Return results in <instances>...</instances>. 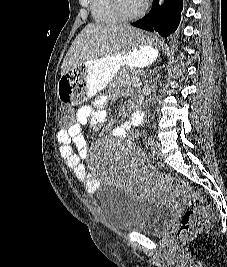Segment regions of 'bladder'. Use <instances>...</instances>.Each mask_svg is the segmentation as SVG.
Wrapping results in <instances>:
<instances>
[{
	"label": "bladder",
	"instance_id": "1",
	"mask_svg": "<svg viewBox=\"0 0 227 267\" xmlns=\"http://www.w3.org/2000/svg\"><path fill=\"white\" fill-rule=\"evenodd\" d=\"M99 205L107 223L121 231L159 235L172 216L171 210L154 198L135 197L112 185L102 188Z\"/></svg>",
	"mask_w": 227,
	"mask_h": 267
}]
</instances>
